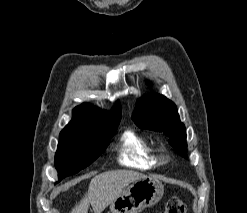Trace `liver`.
<instances>
[{
    "label": "liver",
    "mask_w": 247,
    "mask_h": 213,
    "mask_svg": "<svg viewBox=\"0 0 247 213\" xmlns=\"http://www.w3.org/2000/svg\"><path fill=\"white\" fill-rule=\"evenodd\" d=\"M144 174L131 170L108 171L92 178L88 192L71 213H88L91 204L94 213H101L130 183L145 178Z\"/></svg>",
    "instance_id": "6515ba94"
}]
</instances>
